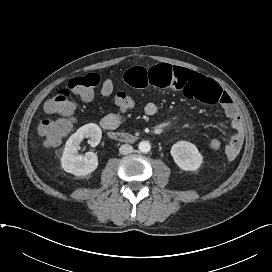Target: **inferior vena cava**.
I'll return each mask as SVG.
<instances>
[{
	"label": "inferior vena cava",
	"mask_w": 272,
	"mask_h": 272,
	"mask_svg": "<svg viewBox=\"0 0 272 272\" xmlns=\"http://www.w3.org/2000/svg\"><path fill=\"white\" fill-rule=\"evenodd\" d=\"M119 152L123 155L130 154L133 152V147L129 144H123L120 146Z\"/></svg>",
	"instance_id": "1"
}]
</instances>
